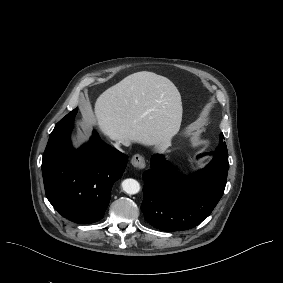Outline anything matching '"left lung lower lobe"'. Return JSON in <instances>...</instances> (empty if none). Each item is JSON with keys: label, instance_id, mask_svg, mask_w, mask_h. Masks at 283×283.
<instances>
[{"label": "left lung lower lobe", "instance_id": "obj_1", "mask_svg": "<svg viewBox=\"0 0 283 283\" xmlns=\"http://www.w3.org/2000/svg\"><path fill=\"white\" fill-rule=\"evenodd\" d=\"M220 142L214 158L202 171L182 175L164 156L151 158V169L143 173L145 220L164 231H181L199 225L215 208L224 193L229 168L226 143ZM205 153L200 155L204 156Z\"/></svg>", "mask_w": 283, "mask_h": 283}]
</instances>
